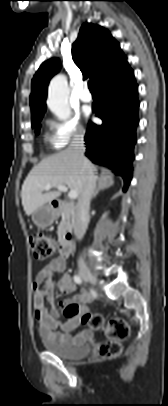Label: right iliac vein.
Instances as JSON below:
<instances>
[{
  "label": "right iliac vein",
  "instance_id": "63e3f726",
  "mask_svg": "<svg viewBox=\"0 0 168 406\" xmlns=\"http://www.w3.org/2000/svg\"><path fill=\"white\" fill-rule=\"evenodd\" d=\"M80 276L83 280L95 285L97 280L96 277L91 273V271L87 268H81L79 272Z\"/></svg>",
  "mask_w": 168,
  "mask_h": 406
}]
</instances>
